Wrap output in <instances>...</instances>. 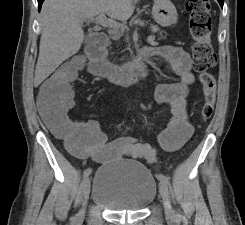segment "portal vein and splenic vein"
I'll list each match as a JSON object with an SVG mask.
<instances>
[{
    "instance_id": "1",
    "label": "portal vein and splenic vein",
    "mask_w": 245,
    "mask_h": 225,
    "mask_svg": "<svg viewBox=\"0 0 245 225\" xmlns=\"http://www.w3.org/2000/svg\"><path fill=\"white\" fill-rule=\"evenodd\" d=\"M91 20H95V23L100 24L103 27L120 28L121 30H125L127 28V26H124L113 19L107 18L105 14H100L95 19L92 18ZM154 40V36L148 37V41L154 42Z\"/></svg>"
}]
</instances>
